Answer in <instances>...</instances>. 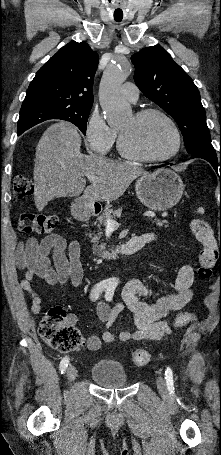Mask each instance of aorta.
I'll use <instances>...</instances> for the list:
<instances>
[{"mask_svg":"<svg viewBox=\"0 0 221 455\" xmlns=\"http://www.w3.org/2000/svg\"><path fill=\"white\" fill-rule=\"evenodd\" d=\"M132 68L128 62H116L109 65L103 73L99 100L107 123L114 127L125 122L131 115L130 105L120 96L121 84L131 74Z\"/></svg>","mask_w":221,"mask_h":455,"instance_id":"obj_1","label":"aorta"}]
</instances>
